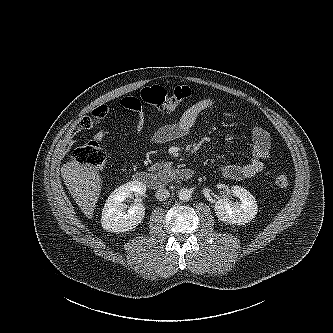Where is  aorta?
<instances>
[{
	"mask_svg": "<svg viewBox=\"0 0 333 333\" xmlns=\"http://www.w3.org/2000/svg\"><path fill=\"white\" fill-rule=\"evenodd\" d=\"M191 195H192V192L190 189H187V188H181L179 191H178V197L180 200L182 201H189L190 198H191Z\"/></svg>",
	"mask_w": 333,
	"mask_h": 333,
	"instance_id": "obj_1",
	"label": "aorta"
}]
</instances>
